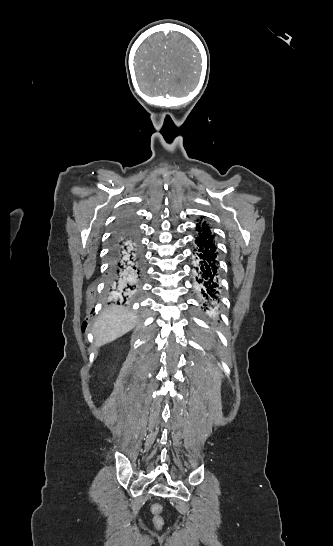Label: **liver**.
<instances>
[{
	"instance_id": "obj_1",
	"label": "liver",
	"mask_w": 333,
	"mask_h": 546,
	"mask_svg": "<svg viewBox=\"0 0 333 546\" xmlns=\"http://www.w3.org/2000/svg\"><path fill=\"white\" fill-rule=\"evenodd\" d=\"M138 322L137 315L123 306L106 307L94 323L95 345L103 346L131 331Z\"/></svg>"
}]
</instances>
